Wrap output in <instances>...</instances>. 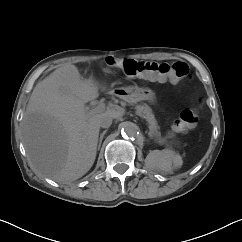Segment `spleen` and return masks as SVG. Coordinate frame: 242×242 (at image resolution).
Wrapping results in <instances>:
<instances>
[{
    "label": "spleen",
    "mask_w": 242,
    "mask_h": 242,
    "mask_svg": "<svg viewBox=\"0 0 242 242\" xmlns=\"http://www.w3.org/2000/svg\"><path fill=\"white\" fill-rule=\"evenodd\" d=\"M146 161L152 168L170 171L173 164L178 165L181 162V157L171 150H154L149 153Z\"/></svg>",
    "instance_id": "obj_1"
}]
</instances>
